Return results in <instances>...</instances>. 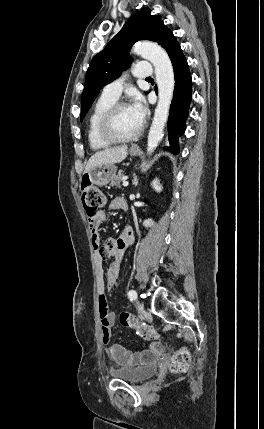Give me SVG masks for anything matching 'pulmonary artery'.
I'll use <instances>...</instances> for the list:
<instances>
[{
  "mask_svg": "<svg viewBox=\"0 0 264 429\" xmlns=\"http://www.w3.org/2000/svg\"><path fill=\"white\" fill-rule=\"evenodd\" d=\"M134 75L137 78H149L153 75V68L149 62L142 61L135 65L133 70ZM124 88V79L115 80L107 84L102 91V95L117 100Z\"/></svg>",
  "mask_w": 264,
  "mask_h": 429,
  "instance_id": "1",
  "label": "pulmonary artery"
}]
</instances>
